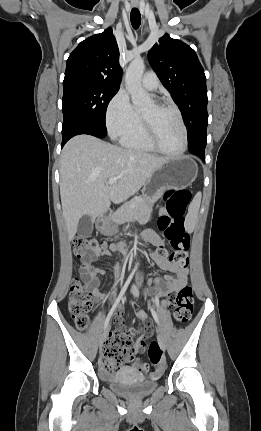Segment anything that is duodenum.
Returning a JSON list of instances; mask_svg holds the SVG:
<instances>
[{
    "label": "duodenum",
    "mask_w": 261,
    "mask_h": 431,
    "mask_svg": "<svg viewBox=\"0 0 261 431\" xmlns=\"http://www.w3.org/2000/svg\"><path fill=\"white\" fill-rule=\"evenodd\" d=\"M106 223H107L106 218H101L100 221H99V225L102 226V227H104L106 225ZM118 248H119V246H115L113 248V250L116 251V250H118Z\"/></svg>",
    "instance_id": "1"
}]
</instances>
